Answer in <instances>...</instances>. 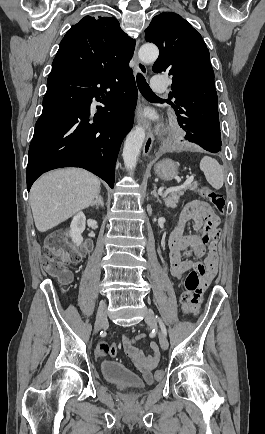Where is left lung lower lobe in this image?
Returning a JSON list of instances; mask_svg holds the SVG:
<instances>
[{"label":"left lung lower lobe","instance_id":"0a47b994","mask_svg":"<svg viewBox=\"0 0 265 434\" xmlns=\"http://www.w3.org/2000/svg\"><path fill=\"white\" fill-rule=\"evenodd\" d=\"M186 129V128H185ZM185 139L192 142L206 151L218 153L221 151V134L205 129H186Z\"/></svg>","mask_w":265,"mask_h":434}]
</instances>
